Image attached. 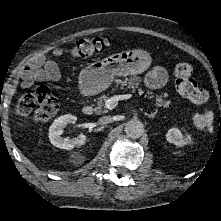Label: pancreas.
Listing matches in <instances>:
<instances>
[{
	"label": "pancreas",
	"instance_id": "cf45deb5",
	"mask_svg": "<svg viewBox=\"0 0 221 221\" xmlns=\"http://www.w3.org/2000/svg\"><path fill=\"white\" fill-rule=\"evenodd\" d=\"M140 77L138 76H132L130 77V79L125 78L124 80L118 79L116 81V87H118L119 85L121 86V89H131L132 91H135L138 88V85L140 83ZM139 93H143L142 89H138ZM148 94H150L151 98H155L156 101V105L157 106H163V107H167L169 105V101L167 99L162 98L163 96L161 95H156L154 96L152 92H148ZM108 99V96L106 95H101L98 98V102H97V106L94 108V112L97 115H101L103 113H107V109L104 108V103L106 102V100Z\"/></svg>",
	"mask_w": 221,
	"mask_h": 221
}]
</instances>
